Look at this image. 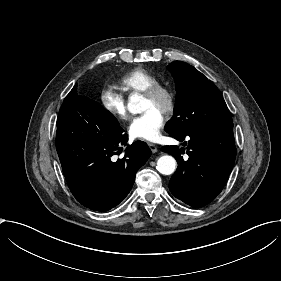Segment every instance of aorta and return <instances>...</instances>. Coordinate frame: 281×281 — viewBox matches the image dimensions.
<instances>
[{"label":"aorta","mask_w":281,"mask_h":281,"mask_svg":"<svg viewBox=\"0 0 281 281\" xmlns=\"http://www.w3.org/2000/svg\"><path fill=\"white\" fill-rule=\"evenodd\" d=\"M127 107L132 114L140 113L143 110L142 97L138 94L130 96ZM156 168L161 174L170 175L175 172L176 160L170 155L161 156L157 161Z\"/></svg>","instance_id":"obj_1"}]
</instances>
